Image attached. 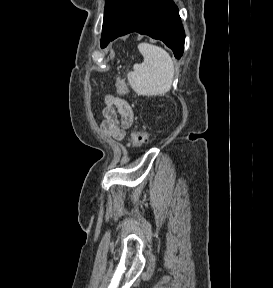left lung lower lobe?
I'll return each instance as SVG.
<instances>
[{
  "instance_id": "obj_1",
  "label": "left lung lower lobe",
  "mask_w": 273,
  "mask_h": 288,
  "mask_svg": "<svg viewBox=\"0 0 273 288\" xmlns=\"http://www.w3.org/2000/svg\"><path fill=\"white\" fill-rule=\"evenodd\" d=\"M131 32L163 41L177 59L183 54L185 33L173 0H132L111 39L101 47Z\"/></svg>"
}]
</instances>
